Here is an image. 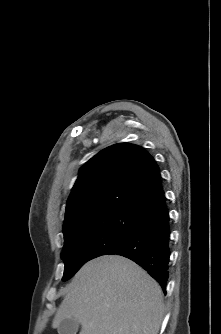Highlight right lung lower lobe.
Instances as JSON below:
<instances>
[{
	"label": "right lung lower lobe",
	"instance_id": "right-lung-lower-lobe-1",
	"mask_svg": "<svg viewBox=\"0 0 221 334\" xmlns=\"http://www.w3.org/2000/svg\"><path fill=\"white\" fill-rule=\"evenodd\" d=\"M162 194L144 211L124 238L106 254L127 257L143 267L166 293L170 257V225Z\"/></svg>",
	"mask_w": 221,
	"mask_h": 334
}]
</instances>
